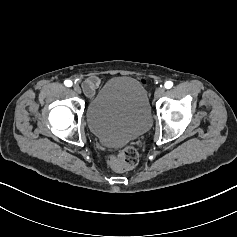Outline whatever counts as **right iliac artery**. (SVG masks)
<instances>
[{
  "label": "right iliac artery",
  "mask_w": 237,
  "mask_h": 237,
  "mask_svg": "<svg viewBox=\"0 0 237 237\" xmlns=\"http://www.w3.org/2000/svg\"><path fill=\"white\" fill-rule=\"evenodd\" d=\"M65 86L71 87L72 86V81L71 80H65L64 81Z\"/></svg>",
  "instance_id": "82829eb1"
}]
</instances>
